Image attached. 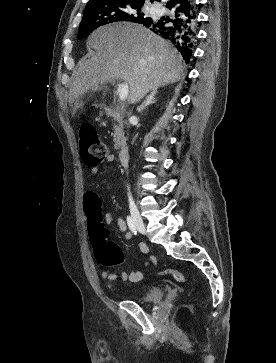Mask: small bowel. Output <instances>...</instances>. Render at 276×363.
Segmentation results:
<instances>
[{"instance_id":"obj_1","label":"small bowel","mask_w":276,"mask_h":363,"mask_svg":"<svg viewBox=\"0 0 276 363\" xmlns=\"http://www.w3.org/2000/svg\"><path fill=\"white\" fill-rule=\"evenodd\" d=\"M113 159H114V156L109 155L107 157V162H111V161H113ZM90 173L92 175H96L98 173V168L92 167L90 169ZM99 206H100V201H99V197H98L97 193L87 192L84 197L85 209L87 210L88 208H92V209H96L98 211ZM103 220L106 224H111L114 221H116L119 230L124 233L125 238L126 239L131 238L132 235H131L130 231L128 230L127 225L122 218H120V217L115 218V216L112 213H105L103 215ZM140 250L143 254L148 253V248L143 243L140 244ZM156 263H157V258L155 256H149L147 261L145 262V266L150 267L152 265H155ZM101 278L106 281L138 282L143 278V273L140 271L130 272V273H127V272L114 273L109 270H103L101 272Z\"/></svg>"}]
</instances>
